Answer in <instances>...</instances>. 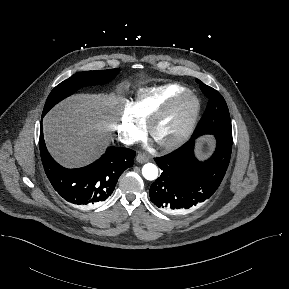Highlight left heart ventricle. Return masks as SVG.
<instances>
[{"label": "left heart ventricle", "mask_w": 289, "mask_h": 289, "mask_svg": "<svg viewBox=\"0 0 289 289\" xmlns=\"http://www.w3.org/2000/svg\"><path fill=\"white\" fill-rule=\"evenodd\" d=\"M191 110L188 99L178 102L172 110L156 125L153 133L155 141L162 142L173 139L183 128Z\"/></svg>", "instance_id": "obj_1"}]
</instances>
